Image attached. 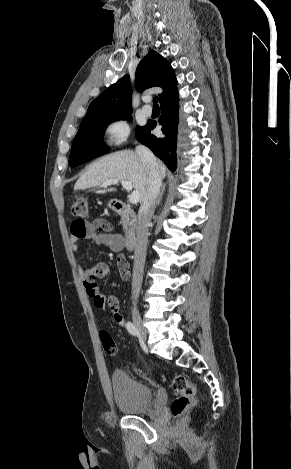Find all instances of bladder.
I'll return each mask as SVG.
<instances>
[{
	"label": "bladder",
	"instance_id": "1",
	"mask_svg": "<svg viewBox=\"0 0 291 469\" xmlns=\"http://www.w3.org/2000/svg\"><path fill=\"white\" fill-rule=\"evenodd\" d=\"M113 398L116 407L123 413L134 415L148 411L153 403L151 388L122 369L111 375Z\"/></svg>",
	"mask_w": 291,
	"mask_h": 469
}]
</instances>
